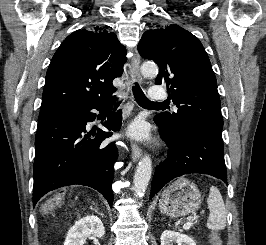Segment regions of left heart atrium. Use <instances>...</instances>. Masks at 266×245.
<instances>
[{
  "mask_svg": "<svg viewBox=\"0 0 266 245\" xmlns=\"http://www.w3.org/2000/svg\"><path fill=\"white\" fill-rule=\"evenodd\" d=\"M146 133L145 125L142 123H136L130 128V135L136 138H143Z\"/></svg>",
  "mask_w": 266,
  "mask_h": 245,
  "instance_id": "1",
  "label": "left heart atrium"
}]
</instances>
